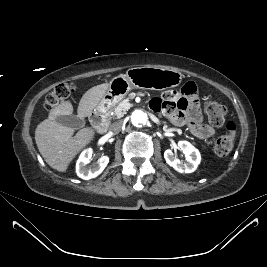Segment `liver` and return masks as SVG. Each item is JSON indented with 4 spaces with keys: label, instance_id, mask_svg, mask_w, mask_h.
<instances>
[{
    "label": "liver",
    "instance_id": "1",
    "mask_svg": "<svg viewBox=\"0 0 267 267\" xmlns=\"http://www.w3.org/2000/svg\"><path fill=\"white\" fill-rule=\"evenodd\" d=\"M107 83L90 88L82 96L77 109L80 117H87L98 105L108 89ZM73 106L65 101L51 109L48 119L41 122L35 131V141L46 163L59 172H65L73 158L94 138L92 128H84L75 136L74 129L56 121L57 117L71 115Z\"/></svg>",
    "mask_w": 267,
    "mask_h": 267
}]
</instances>
